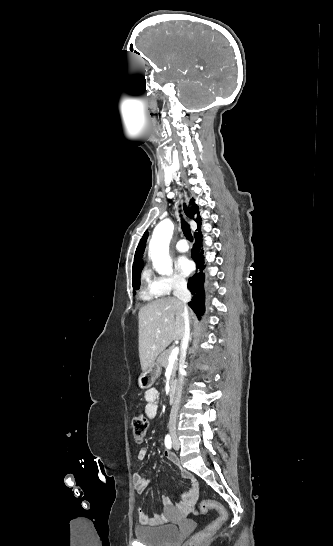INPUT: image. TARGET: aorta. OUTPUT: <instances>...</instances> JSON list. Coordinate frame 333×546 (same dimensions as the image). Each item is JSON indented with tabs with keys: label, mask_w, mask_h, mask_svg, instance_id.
Here are the masks:
<instances>
[{
	"label": "aorta",
	"mask_w": 333,
	"mask_h": 546,
	"mask_svg": "<svg viewBox=\"0 0 333 546\" xmlns=\"http://www.w3.org/2000/svg\"><path fill=\"white\" fill-rule=\"evenodd\" d=\"M173 230V223L165 219L153 231L149 244V256L159 274L170 275L172 273V263L169 258V242L172 238Z\"/></svg>",
	"instance_id": "762f6f07"
}]
</instances>
